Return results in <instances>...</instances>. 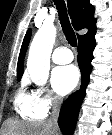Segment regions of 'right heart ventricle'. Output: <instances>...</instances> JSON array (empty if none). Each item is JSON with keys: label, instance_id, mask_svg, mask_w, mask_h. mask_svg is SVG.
<instances>
[{"label": "right heart ventricle", "instance_id": "e07e8e85", "mask_svg": "<svg viewBox=\"0 0 112 135\" xmlns=\"http://www.w3.org/2000/svg\"><path fill=\"white\" fill-rule=\"evenodd\" d=\"M14 108L17 114L26 120L40 121L46 116V112L37 106L34 94L29 92L25 85H22L16 92Z\"/></svg>", "mask_w": 112, "mask_h": 135}]
</instances>
